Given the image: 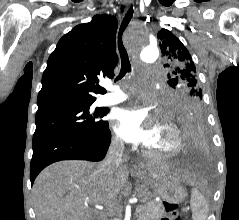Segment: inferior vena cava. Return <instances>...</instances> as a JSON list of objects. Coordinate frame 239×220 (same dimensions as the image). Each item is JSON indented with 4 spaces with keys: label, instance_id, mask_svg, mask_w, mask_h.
Masks as SVG:
<instances>
[{
    "label": "inferior vena cava",
    "instance_id": "inferior-vena-cava-1",
    "mask_svg": "<svg viewBox=\"0 0 239 220\" xmlns=\"http://www.w3.org/2000/svg\"><path fill=\"white\" fill-rule=\"evenodd\" d=\"M123 151L124 143L117 139L113 140L105 159L101 163V169L107 173H112L119 168L122 162Z\"/></svg>",
    "mask_w": 239,
    "mask_h": 220
}]
</instances>
